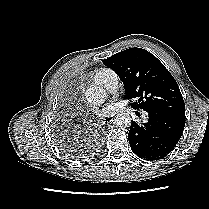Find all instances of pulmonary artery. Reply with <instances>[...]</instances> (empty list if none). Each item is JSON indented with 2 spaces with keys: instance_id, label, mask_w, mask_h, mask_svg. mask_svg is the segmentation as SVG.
I'll list each match as a JSON object with an SVG mask.
<instances>
[{
  "instance_id": "obj_1",
  "label": "pulmonary artery",
  "mask_w": 209,
  "mask_h": 209,
  "mask_svg": "<svg viewBox=\"0 0 209 209\" xmlns=\"http://www.w3.org/2000/svg\"><path fill=\"white\" fill-rule=\"evenodd\" d=\"M95 81L109 92L115 91L119 83L117 74L109 69H107L103 74L96 76ZM144 117H146V114H144Z\"/></svg>"
}]
</instances>
